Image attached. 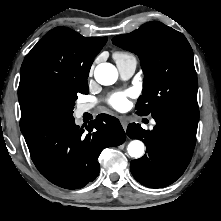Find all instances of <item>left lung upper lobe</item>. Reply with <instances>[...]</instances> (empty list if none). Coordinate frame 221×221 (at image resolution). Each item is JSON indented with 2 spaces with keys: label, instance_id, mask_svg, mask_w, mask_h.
Here are the masks:
<instances>
[{
  "label": "left lung upper lobe",
  "instance_id": "left-lung-upper-lobe-1",
  "mask_svg": "<svg viewBox=\"0 0 221 221\" xmlns=\"http://www.w3.org/2000/svg\"><path fill=\"white\" fill-rule=\"evenodd\" d=\"M112 42L141 60L145 76L135 107L138 115L160 111L199 119L193 51L183 34L163 23L148 22Z\"/></svg>",
  "mask_w": 221,
  "mask_h": 221
}]
</instances>
